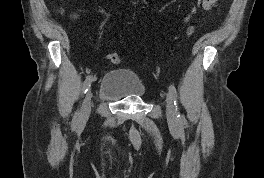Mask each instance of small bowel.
<instances>
[{
	"label": "small bowel",
	"mask_w": 264,
	"mask_h": 178,
	"mask_svg": "<svg viewBox=\"0 0 264 178\" xmlns=\"http://www.w3.org/2000/svg\"><path fill=\"white\" fill-rule=\"evenodd\" d=\"M218 0H208V2L206 3V5L204 6L205 9H211L213 7H215V5L217 4Z\"/></svg>",
	"instance_id": "1"
}]
</instances>
